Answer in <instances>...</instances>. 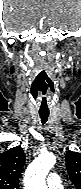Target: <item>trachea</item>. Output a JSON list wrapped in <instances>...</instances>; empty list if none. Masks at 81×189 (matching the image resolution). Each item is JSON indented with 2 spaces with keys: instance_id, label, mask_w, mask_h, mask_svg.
Wrapping results in <instances>:
<instances>
[{
  "instance_id": "obj_1",
  "label": "trachea",
  "mask_w": 81,
  "mask_h": 189,
  "mask_svg": "<svg viewBox=\"0 0 81 189\" xmlns=\"http://www.w3.org/2000/svg\"><path fill=\"white\" fill-rule=\"evenodd\" d=\"M39 115H40V118H41V122L44 125L48 120L49 112H40Z\"/></svg>"
}]
</instances>
